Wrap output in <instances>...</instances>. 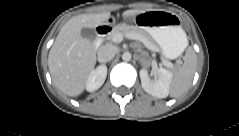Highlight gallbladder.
I'll return each instance as SVG.
<instances>
[{
  "instance_id": "obj_1",
  "label": "gallbladder",
  "mask_w": 239,
  "mask_h": 136,
  "mask_svg": "<svg viewBox=\"0 0 239 136\" xmlns=\"http://www.w3.org/2000/svg\"><path fill=\"white\" fill-rule=\"evenodd\" d=\"M81 36L92 42L96 39L97 35L93 28H82Z\"/></svg>"
}]
</instances>
